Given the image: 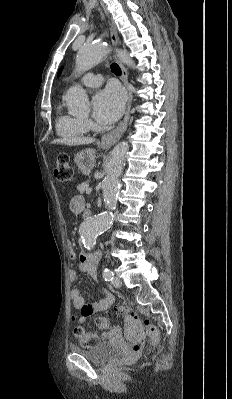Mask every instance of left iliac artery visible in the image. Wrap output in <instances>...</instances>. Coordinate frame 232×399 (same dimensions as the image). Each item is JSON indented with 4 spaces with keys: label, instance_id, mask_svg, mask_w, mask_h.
Returning <instances> with one entry per match:
<instances>
[{
    "label": "left iliac artery",
    "instance_id": "44dca946",
    "mask_svg": "<svg viewBox=\"0 0 232 399\" xmlns=\"http://www.w3.org/2000/svg\"><path fill=\"white\" fill-rule=\"evenodd\" d=\"M113 276H114L113 272L108 267H105L103 270V277L105 281H112Z\"/></svg>",
    "mask_w": 232,
    "mask_h": 399
}]
</instances>
